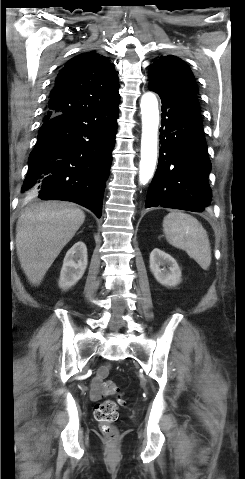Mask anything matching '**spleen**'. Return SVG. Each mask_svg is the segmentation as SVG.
<instances>
[{"mask_svg": "<svg viewBox=\"0 0 245 479\" xmlns=\"http://www.w3.org/2000/svg\"><path fill=\"white\" fill-rule=\"evenodd\" d=\"M163 231L172 246L184 250L203 270L211 264V247L206 230L193 216L172 211L164 217Z\"/></svg>", "mask_w": 245, "mask_h": 479, "instance_id": "obj_1", "label": "spleen"}]
</instances>
